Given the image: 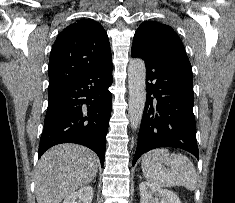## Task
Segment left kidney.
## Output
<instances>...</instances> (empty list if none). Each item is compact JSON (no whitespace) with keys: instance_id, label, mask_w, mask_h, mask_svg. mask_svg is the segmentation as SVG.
<instances>
[{"instance_id":"left-kidney-1","label":"left kidney","mask_w":235,"mask_h":203,"mask_svg":"<svg viewBox=\"0 0 235 203\" xmlns=\"http://www.w3.org/2000/svg\"><path fill=\"white\" fill-rule=\"evenodd\" d=\"M140 203H181L178 196L170 191L149 182H141Z\"/></svg>"}]
</instances>
